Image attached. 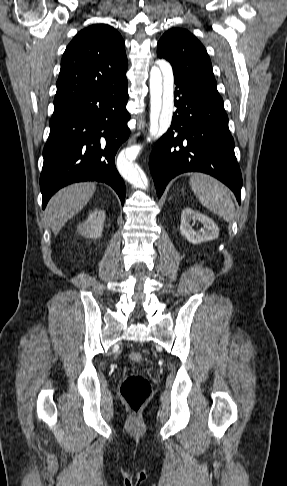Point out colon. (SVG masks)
I'll return each mask as SVG.
<instances>
[{
	"label": "colon",
	"instance_id": "1",
	"mask_svg": "<svg viewBox=\"0 0 287 486\" xmlns=\"http://www.w3.org/2000/svg\"><path fill=\"white\" fill-rule=\"evenodd\" d=\"M129 359L136 364H142L144 358L138 351H132ZM152 387L149 379L140 372L128 375L121 383L120 395L126 406L138 413L151 396Z\"/></svg>",
	"mask_w": 287,
	"mask_h": 486
}]
</instances>
